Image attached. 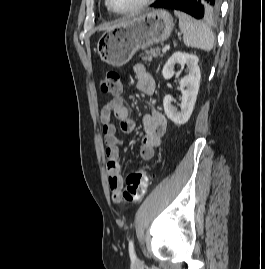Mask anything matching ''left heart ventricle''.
<instances>
[{
    "label": "left heart ventricle",
    "mask_w": 265,
    "mask_h": 269,
    "mask_svg": "<svg viewBox=\"0 0 265 269\" xmlns=\"http://www.w3.org/2000/svg\"><path fill=\"white\" fill-rule=\"evenodd\" d=\"M143 0H111L113 7L117 10L131 9Z\"/></svg>",
    "instance_id": "left-heart-ventricle-1"
}]
</instances>
